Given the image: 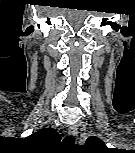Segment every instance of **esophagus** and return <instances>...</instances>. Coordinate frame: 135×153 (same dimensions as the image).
<instances>
[{"mask_svg":"<svg viewBox=\"0 0 135 153\" xmlns=\"http://www.w3.org/2000/svg\"><path fill=\"white\" fill-rule=\"evenodd\" d=\"M68 133H69V135L77 136V134H78L77 127H76L75 125H71V126L68 128Z\"/></svg>","mask_w":135,"mask_h":153,"instance_id":"obj_1","label":"esophagus"}]
</instances>
